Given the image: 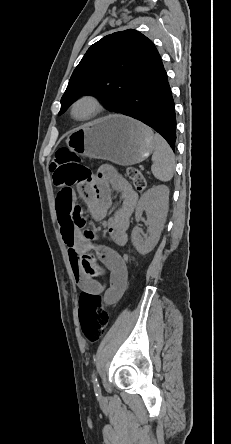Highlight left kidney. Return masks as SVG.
I'll return each instance as SVG.
<instances>
[{"instance_id": "left-kidney-1", "label": "left kidney", "mask_w": 231, "mask_h": 444, "mask_svg": "<svg viewBox=\"0 0 231 444\" xmlns=\"http://www.w3.org/2000/svg\"><path fill=\"white\" fill-rule=\"evenodd\" d=\"M168 202L169 188L165 185L153 186L141 196L137 204L135 218L138 222L143 211L146 212L149 234L143 238L138 226L133 229L131 234L132 243L140 254H148L158 243L168 213Z\"/></svg>"}]
</instances>
